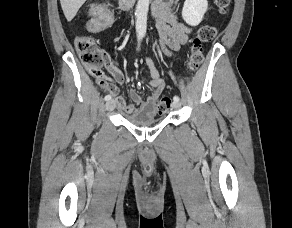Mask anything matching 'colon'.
<instances>
[{
	"label": "colon",
	"mask_w": 292,
	"mask_h": 228,
	"mask_svg": "<svg viewBox=\"0 0 292 228\" xmlns=\"http://www.w3.org/2000/svg\"><path fill=\"white\" fill-rule=\"evenodd\" d=\"M230 1L231 0H215L219 13H227ZM89 15L94 19L89 25V28L93 31L104 29L112 22V15L109 12L102 13L99 5H93L89 10ZM98 17H100V19L95 20ZM216 33V28L211 25H204L198 29L192 41L188 58V69L190 72H195L199 69L204 60L202 44L213 40ZM75 46L86 70L100 81L103 77L101 69L105 62V55L98 47L95 39L90 36H80L76 39ZM170 106L171 99L169 97H162L157 107L158 111L163 113L168 110Z\"/></svg>",
	"instance_id": "obj_1"
}]
</instances>
